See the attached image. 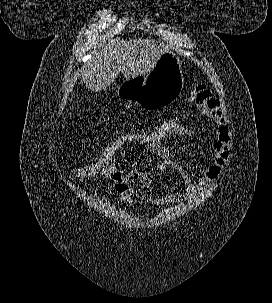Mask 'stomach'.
Listing matches in <instances>:
<instances>
[{
  "mask_svg": "<svg viewBox=\"0 0 272 303\" xmlns=\"http://www.w3.org/2000/svg\"><path fill=\"white\" fill-rule=\"evenodd\" d=\"M183 87L181 61L174 52L168 50L146 75L121 83L117 93L119 97L149 110L177 99Z\"/></svg>",
  "mask_w": 272,
  "mask_h": 303,
  "instance_id": "1",
  "label": "stomach"
}]
</instances>
